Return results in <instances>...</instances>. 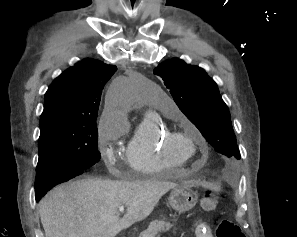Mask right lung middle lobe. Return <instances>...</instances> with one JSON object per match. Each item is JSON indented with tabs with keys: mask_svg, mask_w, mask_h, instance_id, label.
Returning <instances> with one entry per match:
<instances>
[{
	"mask_svg": "<svg viewBox=\"0 0 297 237\" xmlns=\"http://www.w3.org/2000/svg\"><path fill=\"white\" fill-rule=\"evenodd\" d=\"M40 127L35 188L52 186L59 175L83 174L100 159L96 118H60Z\"/></svg>",
	"mask_w": 297,
	"mask_h": 237,
	"instance_id": "obj_1",
	"label": "right lung middle lobe"
}]
</instances>
